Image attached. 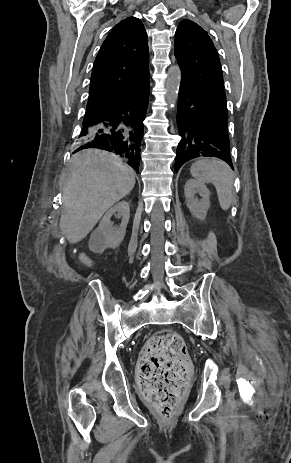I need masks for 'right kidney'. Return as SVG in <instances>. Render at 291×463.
Returning <instances> with one entry per match:
<instances>
[{"instance_id": "obj_1", "label": "right kidney", "mask_w": 291, "mask_h": 463, "mask_svg": "<svg viewBox=\"0 0 291 463\" xmlns=\"http://www.w3.org/2000/svg\"><path fill=\"white\" fill-rule=\"evenodd\" d=\"M118 213L122 217L120 226L114 227L111 222V217ZM130 208L126 201H121L110 208L99 226L90 236L89 247L92 251L102 253L106 248H117L124 239L126 227L129 222Z\"/></svg>"}]
</instances>
